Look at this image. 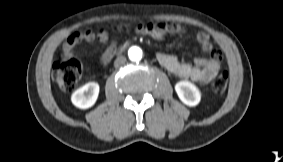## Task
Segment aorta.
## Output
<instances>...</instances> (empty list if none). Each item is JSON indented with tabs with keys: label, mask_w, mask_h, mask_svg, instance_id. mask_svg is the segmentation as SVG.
Masks as SVG:
<instances>
[{
	"label": "aorta",
	"mask_w": 283,
	"mask_h": 162,
	"mask_svg": "<svg viewBox=\"0 0 283 162\" xmlns=\"http://www.w3.org/2000/svg\"><path fill=\"white\" fill-rule=\"evenodd\" d=\"M128 56L131 61H139L142 58V50L139 47L133 46L129 49Z\"/></svg>",
	"instance_id": "obj_1"
}]
</instances>
